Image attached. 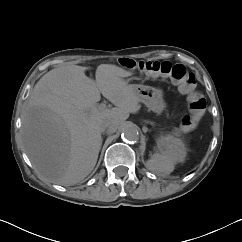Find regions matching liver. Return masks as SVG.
Here are the masks:
<instances>
[{
  "mask_svg": "<svg viewBox=\"0 0 242 242\" xmlns=\"http://www.w3.org/2000/svg\"><path fill=\"white\" fill-rule=\"evenodd\" d=\"M86 69L65 65L50 70L34 86L22 115V138L32 165L42 178L60 185H74L94 169L103 118H114L117 131L130 113L140 110L135 85L124 79L132 72L100 64L94 81ZM100 94L115 107L96 108Z\"/></svg>",
  "mask_w": 242,
  "mask_h": 242,
  "instance_id": "1",
  "label": "liver"
}]
</instances>
